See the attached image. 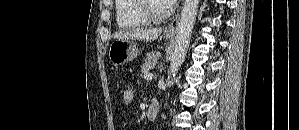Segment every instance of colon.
Wrapping results in <instances>:
<instances>
[{
    "label": "colon",
    "mask_w": 299,
    "mask_h": 130,
    "mask_svg": "<svg viewBox=\"0 0 299 130\" xmlns=\"http://www.w3.org/2000/svg\"><path fill=\"white\" fill-rule=\"evenodd\" d=\"M135 97V92L132 87H125L122 91L121 98L124 104L128 105L132 103Z\"/></svg>",
    "instance_id": "obj_1"
}]
</instances>
